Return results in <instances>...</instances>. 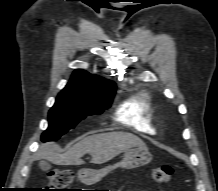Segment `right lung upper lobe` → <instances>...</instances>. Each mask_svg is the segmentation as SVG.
Returning <instances> with one entry per match:
<instances>
[{"instance_id": "obj_1", "label": "right lung upper lobe", "mask_w": 218, "mask_h": 191, "mask_svg": "<svg viewBox=\"0 0 218 191\" xmlns=\"http://www.w3.org/2000/svg\"><path fill=\"white\" fill-rule=\"evenodd\" d=\"M115 90V83L77 69L62 92L80 97L109 98L114 96Z\"/></svg>"}]
</instances>
